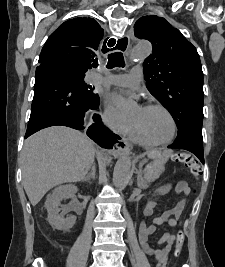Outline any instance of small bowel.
Returning a JSON list of instances; mask_svg holds the SVG:
<instances>
[{
	"label": "small bowel",
	"mask_w": 225,
	"mask_h": 267,
	"mask_svg": "<svg viewBox=\"0 0 225 267\" xmlns=\"http://www.w3.org/2000/svg\"><path fill=\"white\" fill-rule=\"evenodd\" d=\"M173 187V184L168 183L160 187L157 191L158 194H164L171 190ZM175 191L178 194H181L183 198L176 204V206L165 212L163 215L156 217L154 219L155 225H168V226H175L177 219L182 213V210L184 208L185 204V197L189 193V188L185 181H178L175 184ZM155 209V204L153 201H149L143 210V213L145 216H150ZM155 226L154 225H147L145 222H142L140 224L139 229V241L140 245L143 249V251L152 256L155 260L160 261L164 259L167 254L170 252V250L173 247V244L176 240V236L171 233L170 231H165L162 235V237L158 241V245H163L161 248L154 249L149 246L148 244V238L149 236L154 232Z\"/></svg>",
	"instance_id": "c3829d8e"
}]
</instances>
